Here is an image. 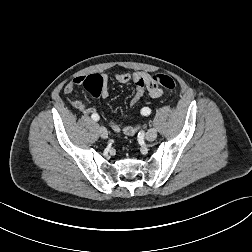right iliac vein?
I'll return each mask as SVG.
<instances>
[{
  "label": "right iliac vein",
  "instance_id": "1",
  "mask_svg": "<svg viewBox=\"0 0 252 252\" xmlns=\"http://www.w3.org/2000/svg\"><path fill=\"white\" fill-rule=\"evenodd\" d=\"M99 134L103 139H106L108 137V131L105 127H101L99 129Z\"/></svg>",
  "mask_w": 252,
  "mask_h": 252
}]
</instances>
